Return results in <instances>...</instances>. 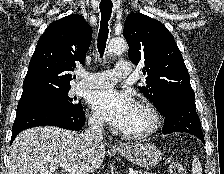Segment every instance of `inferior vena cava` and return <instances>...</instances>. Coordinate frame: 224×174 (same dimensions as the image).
Segmentation results:
<instances>
[{
  "label": "inferior vena cava",
  "instance_id": "obj_1",
  "mask_svg": "<svg viewBox=\"0 0 224 174\" xmlns=\"http://www.w3.org/2000/svg\"><path fill=\"white\" fill-rule=\"evenodd\" d=\"M81 137L90 145L100 146L103 140V122L98 118L88 120V129Z\"/></svg>",
  "mask_w": 224,
  "mask_h": 174
}]
</instances>
